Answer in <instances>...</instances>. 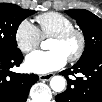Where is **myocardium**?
<instances>
[{
    "instance_id": "myocardium-1",
    "label": "myocardium",
    "mask_w": 102,
    "mask_h": 102,
    "mask_svg": "<svg viewBox=\"0 0 102 102\" xmlns=\"http://www.w3.org/2000/svg\"><path fill=\"white\" fill-rule=\"evenodd\" d=\"M73 37L78 38L79 45H78V49L76 50V52L73 53L72 55H70L68 58H66L67 61H69V62L78 61L82 57V55L85 51L86 37H85L83 31L74 27V28L69 29L65 32L57 34L53 37L54 40H57V41L62 42V43L68 42Z\"/></svg>"
}]
</instances>
